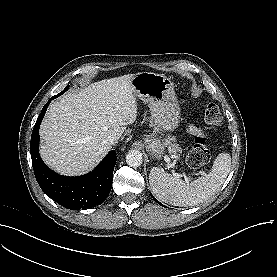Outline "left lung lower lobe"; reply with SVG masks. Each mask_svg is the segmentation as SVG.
Listing matches in <instances>:
<instances>
[{
    "label": "left lung lower lobe",
    "mask_w": 277,
    "mask_h": 277,
    "mask_svg": "<svg viewBox=\"0 0 277 277\" xmlns=\"http://www.w3.org/2000/svg\"><path fill=\"white\" fill-rule=\"evenodd\" d=\"M154 198V197H153ZM154 200L158 203V204H160V205H162L158 200H156L155 198H154ZM163 206V205H162Z\"/></svg>",
    "instance_id": "obj_1"
}]
</instances>
